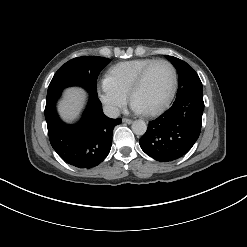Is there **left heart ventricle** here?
Segmentation results:
<instances>
[{"label":"left heart ventricle","instance_id":"obj_1","mask_svg":"<svg viewBox=\"0 0 247 247\" xmlns=\"http://www.w3.org/2000/svg\"><path fill=\"white\" fill-rule=\"evenodd\" d=\"M173 82V75L167 64L155 65L148 73L142 86L134 93L133 102L144 112L160 106L167 98Z\"/></svg>","mask_w":247,"mask_h":247}]
</instances>
